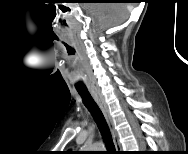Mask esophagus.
I'll return each instance as SVG.
<instances>
[{
    "mask_svg": "<svg viewBox=\"0 0 188 154\" xmlns=\"http://www.w3.org/2000/svg\"><path fill=\"white\" fill-rule=\"evenodd\" d=\"M90 93L92 95V97L94 98V100L96 101V103L98 104L99 108L101 109L107 124L109 126L111 135H112V139L116 148V152L117 153H121L122 151V147H121V143L119 141V136L117 133V130L115 128L114 122L112 120L111 115L109 114L107 105L103 99V97L100 95V93L97 90H90Z\"/></svg>",
    "mask_w": 188,
    "mask_h": 154,
    "instance_id": "1",
    "label": "esophagus"
}]
</instances>
